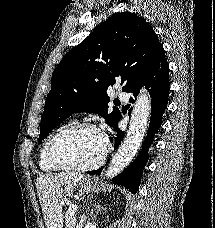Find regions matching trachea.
<instances>
[{"instance_id": "trachea-1", "label": "trachea", "mask_w": 215, "mask_h": 228, "mask_svg": "<svg viewBox=\"0 0 215 228\" xmlns=\"http://www.w3.org/2000/svg\"><path fill=\"white\" fill-rule=\"evenodd\" d=\"M114 104H115V105H120V101H119V100H115V101H114Z\"/></svg>"}]
</instances>
